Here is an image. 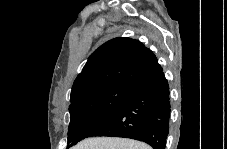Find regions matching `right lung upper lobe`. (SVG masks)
Returning a JSON list of instances; mask_svg holds the SVG:
<instances>
[{
    "label": "right lung upper lobe",
    "instance_id": "cb5924a9",
    "mask_svg": "<svg viewBox=\"0 0 227 149\" xmlns=\"http://www.w3.org/2000/svg\"><path fill=\"white\" fill-rule=\"evenodd\" d=\"M162 71L153 52L140 41L114 38L101 45L89 57L74 81L70 102L110 84L135 88L149 77Z\"/></svg>",
    "mask_w": 227,
    "mask_h": 149
}]
</instances>
